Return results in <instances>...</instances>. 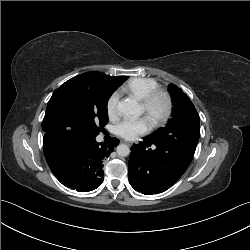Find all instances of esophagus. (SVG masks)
<instances>
[{
	"label": "esophagus",
	"mask_w": 250,
	"mask_h": 250,
	"mask_svg": "<svg viewBox=\"0 0 250 250\" xmlns=\"http://www.w3.org/2000/svg\"><path fill=\"white\" fill-rule=\"evenodd\" d=\"M124 143L127 144V145H129V146L131 145L129 142H124Z\"/></svg>",
	"instance_id": "esophagus-1"
}]
</instances>
